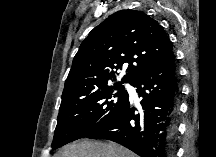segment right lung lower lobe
Wrapping results in <instances>:
<instances>
[{
    "instance_id": "right-lung-lower-lobe-1",
    "label": "right lung lower lobe",
    "mask_w": 216,
    "mask_h": 157,
    "mask_svg": "<svg viewBox=\"0 0 216 157\" xmlns=\"http://www.w3.org/2000/svg\"><path fill=\"white\" fill-rule=\"evenodd\" d=\"M142 98L140 113L129 100L102 128L87 136L107 139L140 157H174L180 86L173 52L147 69L132 83Z\"/></svg>"
}]
</instances>
